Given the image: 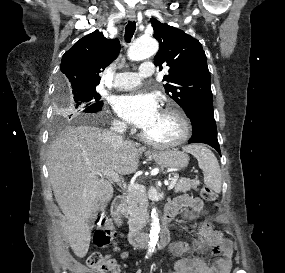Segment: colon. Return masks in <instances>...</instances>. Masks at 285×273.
<instances>
[{
    "label": "colon",
    "instance_id": "obj_1",
    "mask_svg": "<svg viewBox=\"0 0 285 273\" xmlns=\"http://www.w3.org/2000/svg\"><path fill=\"white\" fill-rule=\"evenodd\" d=\"M202 198L206 201H215L217 192L210 186H203L201 190ZM114 237L111 227L101 220V225L96 229L93 242L99 248L108 246ZM87 265L92 273H118L117 265L110 257L95 252L88 256Z\"/></svg>",
    "mask_w": 285,
    "mask_h": 273
}]
</instances>
